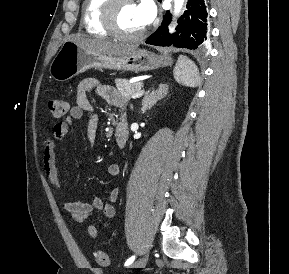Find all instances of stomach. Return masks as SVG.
Here are the masks:
<instances>
[{"label":"stomach","mask_w":289,"mask_h":274,"mask_svg":"<svg viewBox=\"0 0 289 274\" xmlns=\"http://www.w3.org/2000/svg\"><path fill=\"white\" fill-rule=\"evenodd\" d=\"M171 62L168 55H157L145 49H137L123 56H109L91 52L67 40L54 57L49 72L53 79L64 82L91 68L141 72L167 66Z\"/></svg>","instance_id":"0dacf381"}]
</instances>
